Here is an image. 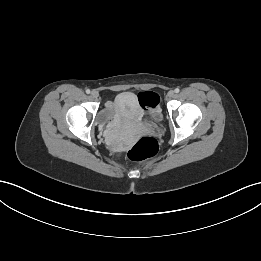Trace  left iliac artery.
I'll return each instance as SVG.
<instances>
[{
	"instance_id": "44dca946",
	"label": "left iliac artery",
	"mask_w": 261,
	"mask_h": 261,
	"mask_svg": "<svg viewBox=\"0 0 261 261\" xmlns=\"http://www.w3.org/2000/svg\"><path fill=\"white\" fill-rule=\"evenodd\" d=\"M179 91H180L179 88H176V89H175V92H176V93H179Z\"/></svg>"
}]
</instances>
